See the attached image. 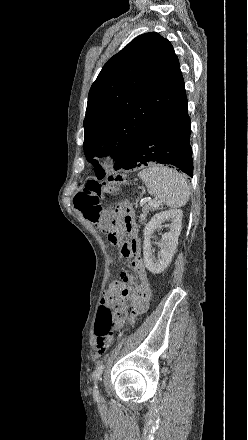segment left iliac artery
Returning <instances> with one entry per match:
<instances>
[{
    "label": "left iliac artery",
    "mask_w": 248,
    "mask_h": 440,
    "mask_svg": "<svg viewBox=\"0 0 248 440\" xmlns=\"http://www.w3.org/2000/svg\"><path fill=\"white\" fill-rule=\"evenodd\" d=\"M103 369H104V364L101 361L100 363H98L95 371L92 374L93 379L95 380V384L97 385V382L101 379V375L103 373Z\"/></svg>",
    "instance_id": "obj_1"
}]
</instances>
